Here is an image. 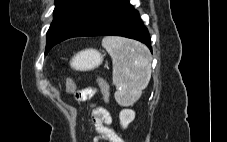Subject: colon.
I'll return each mask as SVG.
<instances>
[{
	"instance_id": "1",
	"label": "colon",
	"mask_w": 227,
	"mask_h": 142,
	"mask_svg": "<svg viewBox=\"0 0 227 142\" xmlns=\"http://www.w3.org/2000/svg\"><path fill=\"white\" fill-rule=\"evenodd\" d=\"M98 85L101 89L103 98L105 100H107V97H108V86H107V84L103 80L98 79ZM67 92H68L69 95H74L76 93L75 82L71 78H69L67 80Z\"/></svg>"
}]
</instances>
